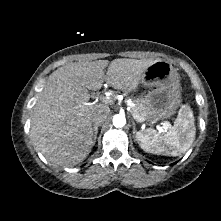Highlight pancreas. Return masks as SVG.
I'll return each mask as SVG.
<instances>
[{"mask_svg":"<svg viewBox=\"0 0 221 221\" xmlns=\"http://www.w3.org/2000/svg\"><path fill=\"white\" fill-rule=\"evenodd\" d=\"M134 106H131V113L138 115L142 121H145L147 119V107L144 104L143 100H134Z\"/></svg>","mask_w":221,"mask_h":221,"instance_id":"1","label":"pancreas"}]
</instances>
